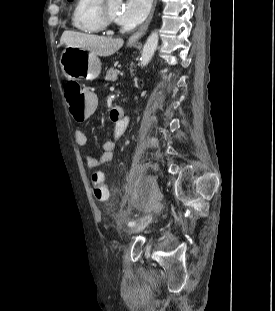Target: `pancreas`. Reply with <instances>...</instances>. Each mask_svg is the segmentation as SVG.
Returning a JSON list of instances; mask_svg holds the SVG:
<instances>
[{"label": "pancreas", "mask_w": 275, "mask_h": 311, "mask_svg": "<svg viewBox=\"0 0 275 311\" xmlns=\"http://www.w3.org/2000/svg\"><path fill=\"white\" fill-rule=\"evenodd\" d=\"M118 70L115 68H110L107 73L105 79L107 81H115L117 79Z\"/></svg>", "instance_id": "pancreas-1"}]
</instances>
